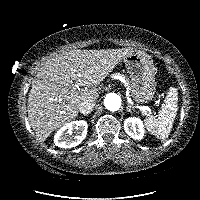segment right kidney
<instances>
[{"mask_svg":"<svg viewBox=\"0 0 200 200\" xmlns=\"http://www.w3.org/2000/svg\"><path fill=\"white\" fill-rule=\"evenodd\" d=\"M87 129L88 124L84 120L66 123L55 134L54 143L56 146L65 149L75 147L85 139Z\"/></svg>","mask_w":200,"mask_h":200,"instance_id":"obj_1","label":"right kidney"}]
</instances>
